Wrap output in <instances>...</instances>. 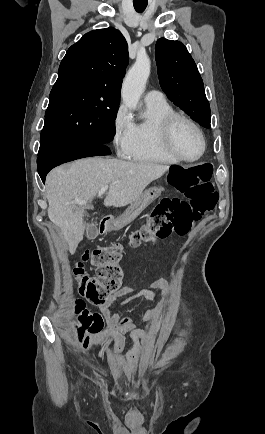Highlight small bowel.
<instances>
[{
  "label": "small bowel",
  "mask_w": 265,
  "mask_h": 434,
  "mask_svg": "<svg viewBox=\"0 0 265 434\" xmlns=\"http://www.w3.org/2000/svg\"><path fill=\"white\" fill-rule=\"evenodd\" d=\"M176 275V271H173ZM161 291L164 297V305L162 310L151 309L141 315L131 317H121L119 313L111 314L110 306L119 299H123L119 303V307L140 299L143 301H152L156 297V292ZM172 287L165 279H157L147 286L136 288L132 286L120 287L117 291L111 293L107 299L100 304L99 310L101 315L106 320V328L104 331L97 333L93 338L94 348L108 347L110 354V361L113 374L118 378H123L126 375H135L139 363V358L136 355H130L127 358V371L122 368L121 354L126 345V336L130 335L133 338L140 340L144 354L141 362H146L149 358V350L151 348V340L146 332L138 329L135 325L134 319L140 318L147 321H154L161 323L168 315L170 307L167 302V297L171 293ZM175 335L172 334L171 338ZM91 344V343H90ZM90 346V345H89ZM86 353V352H83Z\"/></svg>",
  "instance_id": "c3829d8e"
}]
</instances>
